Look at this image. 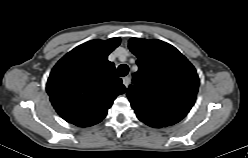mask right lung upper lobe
<instances>
[{
    "instance_id": "right-lung-upper-lobe-1",
    "label": "right lung upper lobe",
    "mask_w": 248,
    "mask_h": 158,
    "mask_svg": "<svg viewBox=\"0 0 248 158\" xmlns=\"http://www.w3.org/2000/svg\"><path fill=\"white\" fill-rule=\"evenodd\" d=\"M120 38L91 40L67 53L52 69L46 90L57 113L79 127L106 117L115 98L126 91L107 56Z\"/></svg>"
}]
</instances>
